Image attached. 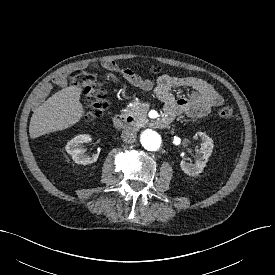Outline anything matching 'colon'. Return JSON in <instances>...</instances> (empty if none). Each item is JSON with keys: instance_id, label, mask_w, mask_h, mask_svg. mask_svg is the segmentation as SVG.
Here are the masks:
<instances>
[{"instance_id": "colon-1", "label": "colon", "mask_w": 275, "mask_h": 275, "mask_svg": "<svg viewBox=\"0 0 275 275\" xmlns=\"http://www.w3.org/2000/svg\"><path fill=\"white\" fill-rule=\"evenodd\" d=\"M104 67L114 69V62H104ZM152 73H159L160 67L153 65L150 68ZM71 82L83 89L86 96L85 115L86 121L91 122L99 118L108 108L106 96L95 86L94 77L86 73L82 69H74L69 74ZM218 115L225 120H229L234 116V109L231 104H226L218 110Z\"/></svg>"}]
</instances>
